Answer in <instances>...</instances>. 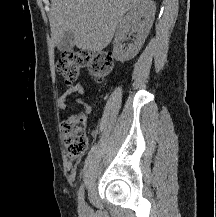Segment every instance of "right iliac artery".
Instances as JSON below:
<instances>
[{
  "instance_id": "obj_1",
  "label": "right iliac artery",
  "mask_w": 216,
  "mask_h": 217,
  "mask_svg": "<svg viewBox=\"0 0 216 217\" xmlns=\"http://www.w3.org/2000/svg\"><path fill=\"white\" fill-rule=\"evenodd\" d=\"M78 205L80 210H84L85 202H84V186L81 185L78 192Z\"/></svg>"
}]
</instances>
